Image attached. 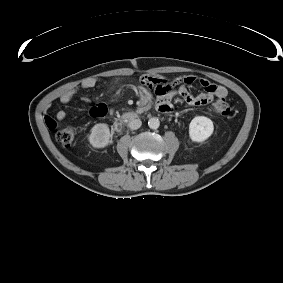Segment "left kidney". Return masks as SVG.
<instances>
[{
  "label": "left kidney",
  "mask_w": 283,
  "mask_h": 283,
  "mask_svg": "<svg viewBox=\"0 0 283 283\" xmlns=\"http://www.w3.org/2000/svg\"><path fill=\"white\" fill-rule=\"evenodd\" d=\"M214 131L211 119L205 116H196L189 125V136L193 142H202L208 139Z\"/></svg>",
  "instance_id": "obj_1"
}]
</instances>
